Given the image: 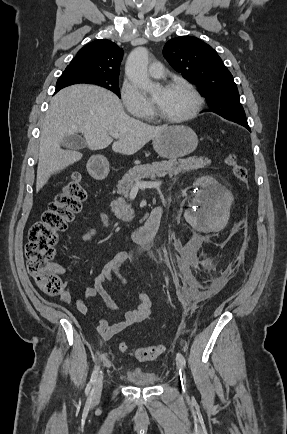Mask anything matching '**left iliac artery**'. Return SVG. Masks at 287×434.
I'll return each instance as SVG.
<instances>
[{"label":"left iliac artery","instance_id":"obj_1","mask_svg":"<svg viewBox=\"0 0 287 434\" xmlns=\"http://www.w3.org/2000/svg\"><path fill=\"white\" fill-rule=\"evenodd\" d=\"M176 360H177V363H178V366H179L180 372H181V370H183V368L186 366V360L181 353L177 354Z\"/></svg>","mask_w":287,"mask_h":434}]
</instances>
